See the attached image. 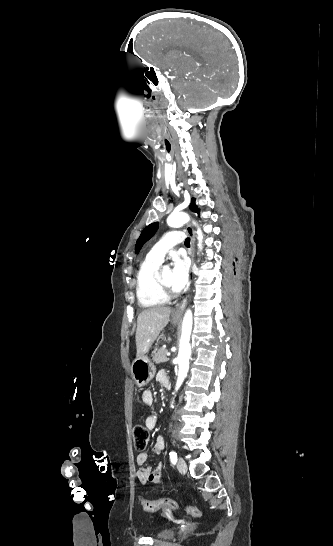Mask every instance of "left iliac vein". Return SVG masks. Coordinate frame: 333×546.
I'll return each mask as SVG.
<instances>
[{
	"label": "left iliac vein",
	"mask_w": 333,
	"mask_h": 546,
	"mask_svg": "<svg viewBox=\"0 0 333 546\" xmlns=\"http://www.w3.org/2000/svg\"><path fill=\"white\" fill-rule=\"evenodd\" d=\"M177 468L180 473L185 474L187 471V465L182 457H179L177 462Z\"/></svg>",
	"instance_id": "4c4485c4"
}]
</instances>
